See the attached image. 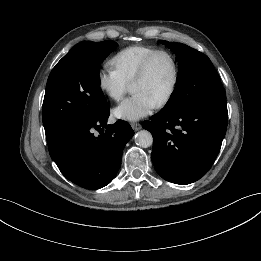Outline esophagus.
Listing matches in <instances>:
<instances>
[{
  "mask_svg": "<svg viewBox=\"0 0 261 261\" xmlns=\"http://www.w3.org/2000/svg\"><path fill=\"white\" fill-rule=\"evenodd\" d=\"M131 126H132L134 131H138L142 127L140 123H136V122L131 123Z\"/></svg>",
  "mask_w": 261,
  "mask_h": 261,
  "instance_id": "esophagus-1",
  "label": "esophagus"
}]
</instances>
